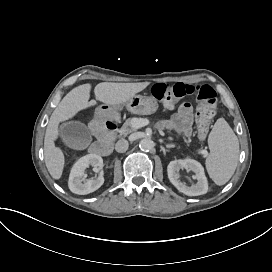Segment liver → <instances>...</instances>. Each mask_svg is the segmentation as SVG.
Listing matches in <instances>:
<instances>
[{
	"label": "liver",
	"instance_id": "obj_1",
	"mask_svg": "<svg viewBox=\"0 0 272 272\" xmlns=\"http://www.w3.org/2000/svg\"><path fill=\"white\" fill-rule=\"evenodd\" d=\"M150 83H112L102 82L95 86L96 100L107 105H118L128 101L133 95L144 90ZM90 84H83L72 89L53 111L46 128L44 138L45 164L54 179H59L64 168V155L60 148L55 147L54 140L58 137V125L61 121L72 118L78 111L96 103L88 102Z\"/></svg>",
	"mask_w": 272,
	"mask_h": 272
}]
</instances>
